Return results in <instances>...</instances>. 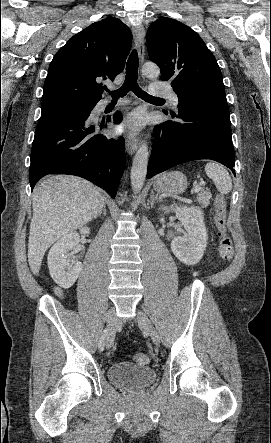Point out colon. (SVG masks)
Returning a JSON list of instances; mask_svg holds the SVG:
<instances>
[{"instance_id": "colon-1", "label": "colon", "mask_w": 271, "mask_h": 443, "mask_svg": "<svg viewBox=\"0 0 271 443\" xmlns=\"http://www.w3.org/2000/svg\"><path fill=\"white\" fill-rule=\"evenodd\" d=\"M226 217L227 209L226 202L223 197H218L215 201V224L218 234V251L223 260L229 261L233 258L234 248L231 239L226 232ZM134 361L139 364H147L148 356L144 353H137L134 355Z\"/></svg>"}]
</instances>
